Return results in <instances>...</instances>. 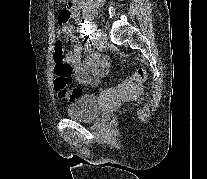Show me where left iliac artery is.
Wrapping results in <instances>:
<instances>
[{
    "label": "left iliac artery",
    "instance_id": "1",
    "mask_svg": "<svg viewBox=\"0 0 207 179\" xmlns=\"http://www.w3.org/2000/svg\"><path fill=\"white\" fill-rule=\"evenodd\" d=\"M88 26L91 28V35L96 36L97 35L96 25L94 23H91Z\"/></svg>",
    "mask_w": 207,
    "mask_h": 179
}]
</instances>
